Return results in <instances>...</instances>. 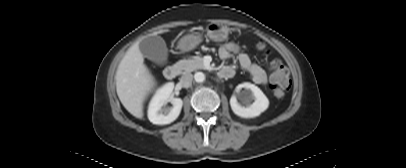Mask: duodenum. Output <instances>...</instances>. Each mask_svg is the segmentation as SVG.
I'll use <instances>...</instances> for the list:
<instances>
[{
  "label": "duodenum",
  "mask_w": 406,
  "mask_h": 168,
  "mask_svg": "<svg viewBox=\"0 0 406 168\" xmlns=\"http://www.w3.org/2000/svg\"><path fill=\"white\" fill-rule=\"evenodd\" d=\"M179 73V67L177 65H170L165 68L163 74L167 80H173ZM234 74V71L230 68H221L218 70V76L220 78H230Z\"/></svg>",
  "instance_id": "duodenum-1"
}]
</instances>
